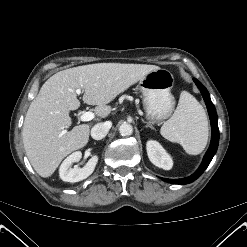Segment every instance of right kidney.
<instances>
[{"label": "right kidney", "mask_w": 247, "mask_h": 247, "mask_svg": "<svg viewBox=\"0 0 247 247\" xmlns=\"http://www.w3.org/2000/svg\"><path fill=\"white\" fill-rule=\"evenodd\" d=\"M81 157H82V153L80 151H76L71 155H69L62 162L59 169V175L63 181L71 182V183L79 182L86 179L88 176H90L93 173L95 166L98 162V157L96 155H94L84 167L72 168V164L79 162Z\"/></svg>", "instance_id": "right-kidney-1"}]
</instances>
